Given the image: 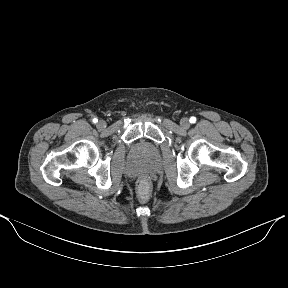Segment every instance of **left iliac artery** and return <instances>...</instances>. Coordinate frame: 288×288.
Here are the masks:
<instances>
[{
    "label": "left iliac artery",
    "mask_w": 288,
    "mask_h": 288,
    "mask_svg": "<svg viewBox=\"0 0 288 288\" xmlns=\"http://www.w3.org/2000/svg\"><path fill=\"white\" fill-rule=\"evenodd\" d=\"M189 121H190V123H195L196 122V118L195 117H191Z\"/></svg>",
    "instance_id": "44dca946"
}]
</instances>
